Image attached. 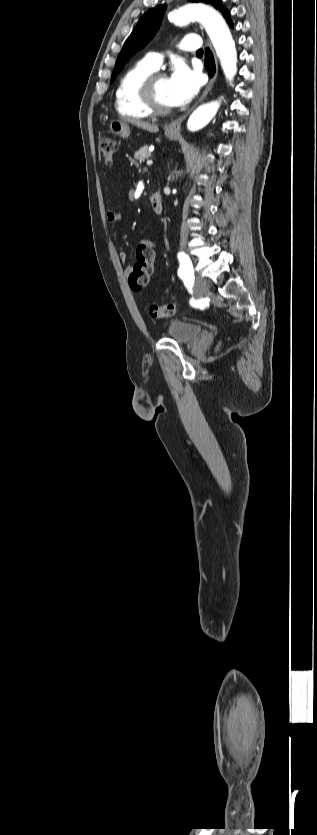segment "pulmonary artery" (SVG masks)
I'll return each instance as SVG.
<instances>
[{
    "instance_id": "pulmonary-artery-1",
    "label": "pulmonary artery",
    "mask_w": 317,
    "mask_h": 835,
    "mask_svg": "<svg viewBox=\"0 0 317 835\" xmlns=\"http://www.w3.org/2000/svg\"><path fill=\"white\" fill-rule=\"evenodd\" d=\"M201 41L199 36L197 35H187L183 37L179 44V49L183 51H196L200 50ZM144 60L155 70L159 68L163 61V56L158 52H149Z\"/></svg>"
}]
</instances>
